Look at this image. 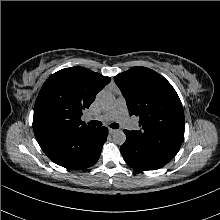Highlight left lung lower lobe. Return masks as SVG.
Segmentation results:
<instances>
[{
  "mask_svg": "<svg viewBox=\"0 0 220 220\" xmlns=\"http://www.w3.org/2000/svg\"><path fill=\"white\" fill-rule=\"evenodd\" d=\"M126 141L120 147L126 163L137 170H156L165 166L174 157L146 143L134 139L126 130Z\"/></svg>",
  "mask_w": 220,
  "mask_h": 220,
  "instance_id": "left-lung-lower-lobe-1",
  "label": "left lung lower lobe"
}]
</instances>
